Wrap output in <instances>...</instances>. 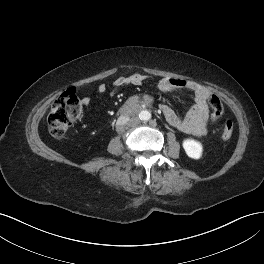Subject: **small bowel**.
Listing matches in <instances>:
<instances>
[{
    "label": "small bowel",
    "instance_id": "small-bowel-1",
    "mask_svg": "<svg viewBox=\"0 0 264 264\" xmlns=\"http://www.w3.org/2000/svg\"><path fill=\"white\" fill-rule=\"evenodd\" d=\"M147 76L141 73H135L130 76H120L115 79L109 89L105 83H100L97 87L101 94L110 93L111 95L120 89L128 86H140L146 80ZM158 89L163 93H172L176 91H190L194 95V105L188 111L185 117L181 118L177 113L166 104L160 106V110L166 121L177 130L195 135L203 136L207 133V124L209 118L208 96L209 91L202 85L185 79L166 77L157 82ZM90 98L81 99L83 106L90 105Z\"/></svg>",
    "mask_w": 264,
    "mask_h": 264
}]
</instances>
